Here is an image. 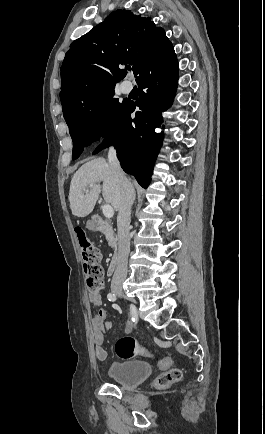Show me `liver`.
<instances>
[{
    "mask_svg": "<svg viewBox=\"0 0 265 434\" xmlns=\"http://www.w3.org/2000/svg\"><path fill=\"white\" fill-rule=\"evenodd\" d=\"M99 182H103V186H100ZM87 186L92 188L85 192ZM101 192L106 204H111L118 212L121 190L116 172L104 158H96L83 164L71 180L69 202L73 216L85 218L91 214Z\"/></svg>",
    "mask_w": 265,
    "mask_h": 434,
    "instance_id": "1",
    "label": "liver"
}]
</instances>
